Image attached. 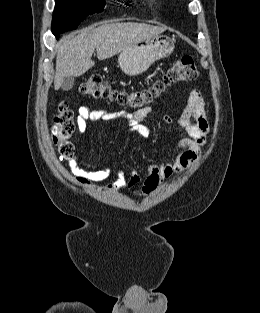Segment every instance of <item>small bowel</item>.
I'll return each mask as SVG.
<instances>
[{
    "mask_svg": "<svg viewBox=\"0 0 260 313\" xmlns=\"http://www.w3.org/2000/svg\"><path fill=\"white\" fill-rule=\"evenodd\" d=\"M150 109L145 108L136 112L125 110H92L82 106L78 110L76 119L79 134L87 130L88 122L91 120L113 121L122 120L126 122L133 131L141 137L150 136V128L144 122ZM164 121L185 131V135L177 140V154L165 163H150L147 166V175L144 179L139 195H149L154 192L165 180L182 173L200 156L209 134V124L205 111V101L199 90L194 89L190 92L184 110L172 117L165 115ZM69 169L79 183L94 189H104L109 192L119 193L125 188H134L141 182V176L137 169H133L127 177L119 170L116 179L103 187L97 184L107 180L111 174L109 167H100L76 157L69 162Z\"/></svg>",
    "mask_w": 260,
    "mask_h": 313,
    "instance_id": "small-bowel-1",
    "label": "small bowel"
}]
</instances>
